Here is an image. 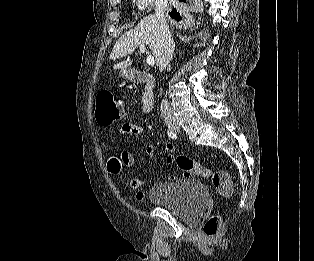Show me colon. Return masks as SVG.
<instances>
[{
	"instance_id": "1",
	"label": "colon",
	"mask_w": 314,
	"mask_h": 261,
	"mask_svg": "<svg viewBox=\"0 0 314 261\" xmlns=\"http://www.w3.org/2000/svg\"><path fill=\"white\" fill-rule=\"evenodd\" d=\"M125 106L122 100L112 90H102L96 96V121L100 126H109L122 120L125 116ZM169 163H175L186 178L202 176L209 178L214 188L223 196L232 193V182L229 173L225 170H210L200 163L187 156H169ZM122 163L127 164V154H123L121 159H117L111 164V170L117 172ZM220 219L218 216H211L203 226V233L207 237H213L218 233Z\"/></svg>"
}]
</instances>
